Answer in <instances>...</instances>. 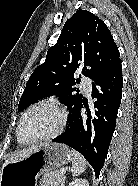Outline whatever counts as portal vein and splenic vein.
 Masks as SVG:
<instances>
[{"mask_svg": "<svg viewBox=\"0 0 138 186\" xmlns=\"http://www.w3.org/2000/svg\"><path fill=\"white\" fill-rule=\"evenodd\" d=\"M65 172H66L65 169H61V170H60V175H61V176H64V175H65Z\"/></svg>", "mask_w": 138, "mask_h": 186, "instance_id": "obj_1", "label": "portal vein and splenic vein"}]
</instances>
